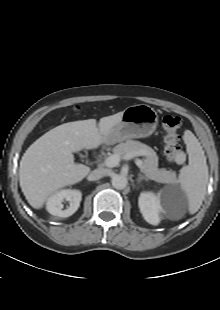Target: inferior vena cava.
I'll use <instances>...</instances> for the list:
<instances>
[{"label": "inferior vena cava", "mask_w": 220, "mask_h": 310, "mask_svg": "<svg viewBox=\"0 0 220 310\" xmlns=\"http://www.w3.org/2000/svg\"><path fill=\"white\" fill-rule=\"evenodd\" d=\"M105 175H106V170L95 169L89 174L88 180L89 181H96V180L103 178Z\"/></svg>", "instance_id": "inferior-vena-cava-1"}]
</instances>
